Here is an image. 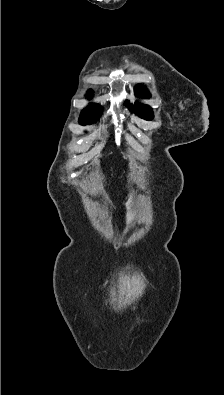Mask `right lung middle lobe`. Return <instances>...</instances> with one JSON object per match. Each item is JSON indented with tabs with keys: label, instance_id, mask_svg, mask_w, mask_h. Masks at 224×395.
<instances>
[{
	"label": "right lung middle lobe",
	"instance_id": "obj_1",
	"mask_svg": "<svg viewBox=\"0 0 224 395\" xmlns=\"http://www.w3.org/2000/svg\"><path fill=\"white\" fill-rule=\"evenodd\" d=\"M102 112V109H96V108H91L89 107L88 109H85L82 111L79 122L81 125H86V124H91L95 122L100 114Z\"/></svg>",
	"mask_w": 224,
	"mask_h": 395
}]
</instances>
